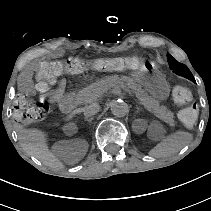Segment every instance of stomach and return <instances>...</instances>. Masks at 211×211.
<instances>
[{"label":"stomach","instance_id":"1","mask_svg":"<svg viewBox=\"0 0 211 211\" xmlns=\"http://www.w3.org/2000/svg\"><path fill=\"white\" fill-rule=\"evenodd\" d=\"M135 81L151 93L157 100H165L169 95V86L161 74L150 73L144 70L132 74Z\"/></svg>","mask_w":211,"mask_h":211}]
</instances>
